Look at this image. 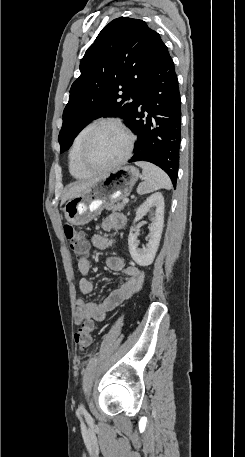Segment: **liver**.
<instances>
[{"mask_svg": "<svg viewBox=\"0 0 245 457\" xmlns=\"http://www.w3.org/2000/svg\"><path fill=\"white\" fill-rule=\"evenodd\" d=\"M96 180H99V178H91V180H86V182H78V184H75V186H71V188L65 192L61 200V204H63L65 200H68V198H72V196H75V194L81 192V190H85L87 186H90V184H93V182H96Z\"/></svg>", "mask_w": 245, "mask_h": 457, "instance_id": "liver-1", "label": "liver"}]
</instances>
